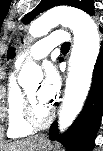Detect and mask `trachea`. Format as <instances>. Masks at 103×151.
I'll return each mask as SVG.
<instances>
[{
  "label": "trachea",
  "mask_w": 103,
  "mask_h": 151,
  "mask_svg": "<svg viewBox=\"0 0 103 151\" xmlns=\"http://www.w3.org/2000/svg\"><path fill=\"white\" fill-rule=\"evenodd\" d=\"M69 47H70V43H64V44H62L61 49H62V50H66V49H68Z\"/></svg>",
  "instance_id": "1"
}]
</instances>
